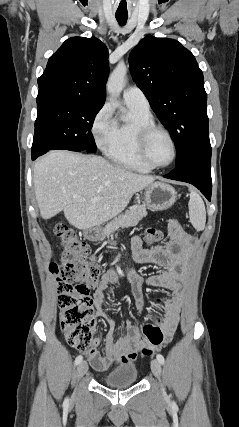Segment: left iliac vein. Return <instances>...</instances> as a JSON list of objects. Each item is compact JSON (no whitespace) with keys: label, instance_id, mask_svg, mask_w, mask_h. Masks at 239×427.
Masks as SVG:
<instances>
[{"label":"left iliac vein","instance_id":"1","mask_svg":"<svg viewBox=\"0 0 239 427\" xmlns=\"http://www.w3.org/2000/svg\"><path fill=\"white\" fill-rule=\"evenodd\" d=\"M151 370H152L154 376L157 379L161 380V364L158 360L154 359L151 361ZM162 392H163V394H165V390L163 387H162Z\"/></svg>","mask_w":239,"mask_h":427}]
</instances>
